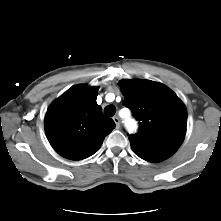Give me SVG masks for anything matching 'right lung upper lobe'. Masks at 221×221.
Here are the masks:
<instances>
[{"instance_id":"cb5924a9","label":"right lung upper lobe","mask_w":221,"mask_h":221,"mask_svg":"<svg viewBox=\"0 0 221 221\" xmlns=\"http://www.w3.org/2000/svg\"><path fill=\"white\" fill-rule=\"evenodd\" d=\"M98 87L76 85L49 107L45 116L46 136L61 156L82 160L93 155L115 128L96 103Z\"/></svg>"}]
</instances>
